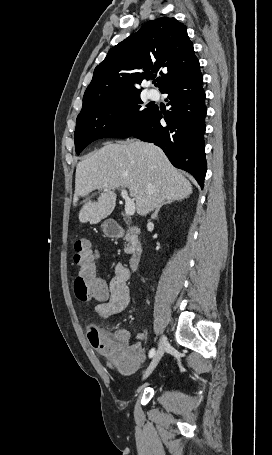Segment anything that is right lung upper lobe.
<instances>
[{"label": "right lung upper lobe", "mask_w": 272, "mask_h": 455, "mask_svg": "<svg viewBox=\"0 0 272 455\" xmlns=\"http://www.w3.org/2000/svg\"><path fill=\"white\" fill-rule=\"evenodd\" d=\"M160 69V91L200 70L186 26L175 18L148 21L110 49L94 70L80 113L140 94L141 85Z\"/></svg>", "instance_id": "cb5924a9"}]
</instances>
